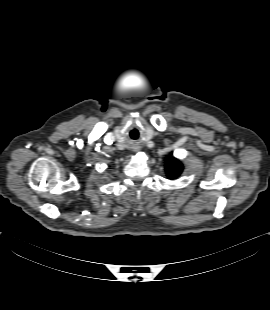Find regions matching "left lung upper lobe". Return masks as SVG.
Wrapping results in <instances>:
<instances>
[{"mask_svg":"<svg viewBox=\"0 0 270 310\" xmlns=\"http://www.w3.org/2000/svg\"><path fill=\"white\" fill-rule=\"evenodd\" d=\"M182 170L183 165L178 159L172 157L166 160V173L170 179L177 178L181 174Z\"/></svg>","mask_w":270,"mask_h":310,"instance_id":"5c2ea615","label":"left lung upper lobe"}]
</instances>
